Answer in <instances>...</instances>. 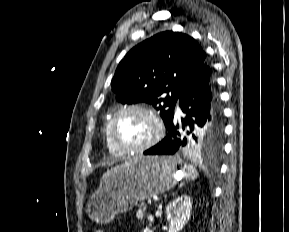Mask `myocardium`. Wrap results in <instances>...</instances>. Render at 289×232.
Returning <instances> with one entry per match:
<instances>
[{
  "label": "myocardium",
  "mask_w": 289,
  "mask_h": 232,
  "mask_svg": "<svg viewBox=\"0 0 289 232\" xmlns=\"http://www.w3.org/2000/svg\"><path fill=\"white\" fill-rule=\"evenodd\" d=\"M129 111L142 112L146 116H148L149 119L153 123L154 131H153L152 136L147 142L138 146H132V147L124 146L117 141L116 136H115V125H116L118 117L121 114L125 112H129ZM163 131H164L163 123L160 117L158 116V114L152 108L146 105H142V104H130V105H126V106L119 108L113 114L109 123V137H110L111 142L119 151L125 154L142 153L151 149L152 147H154L156 144L160 142L163 136Z\"/></svg>",
  "instance_id": "myocardium-1"
}]
</instances>
